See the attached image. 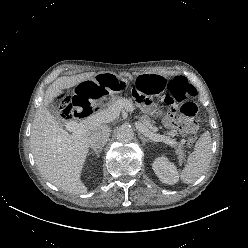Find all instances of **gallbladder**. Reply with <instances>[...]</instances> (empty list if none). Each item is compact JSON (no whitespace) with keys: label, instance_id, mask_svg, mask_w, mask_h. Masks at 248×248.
Segmentation results:
<instances>
[{"label":"gallbladder","instance_id":"gallbladder-1","mask_svg":"<svg viewBox=\"0 0 248 248\" xmlns=\"http://www.w3.org/2000/svg\"><path fill=\"white\" fill-rule=\"evenodd\" d=\"M47 109H48V111L51 113V115H53V117H54L55 119H57L58 122H60V115H59V112H58V110L56 109V107H55L52 103H49V104L47 105Z\"/></svg>","mask_w":248,"mask_h":248}]
</instances>
